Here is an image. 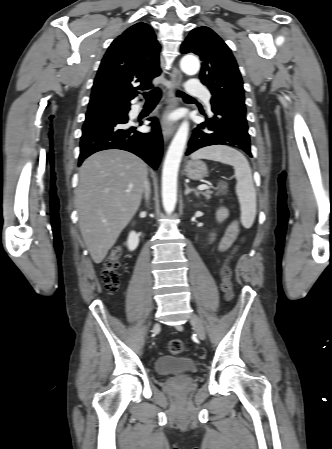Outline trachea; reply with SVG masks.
<instances>
[{
  "label": "trachea",
  "mask_w": 332,
  "mask_h": 449,
  "mask_svg": "<svg viewBox=\"0 0 332 449\" xmlns=\"http://www.w3.org/2000/svg\"><path fill=\"white\" fill-rule=\"evenodd\" d=\"M143 95H144L145 99L147 100V102H157L161 98V90L159 88H156L150 92L143 93ZM176 95L178 97H182L184 99H193L192 97H190L189 95H187L181 91H177Z\"/></svg>",
  "instance_id": "trachea-1"
}]
</instances>
